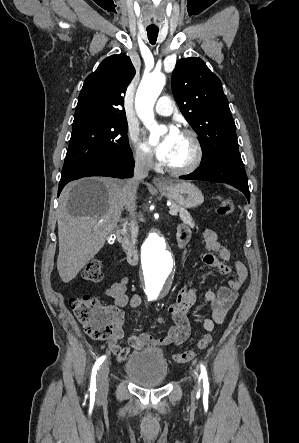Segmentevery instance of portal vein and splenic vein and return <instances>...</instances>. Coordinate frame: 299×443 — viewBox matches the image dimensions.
Listing matches in <instances>:
<instances>
[{
  "mask_svg": "<svg viewBox=\"0 0 299 443\" xmlns=\"http://www.w3.org/2000/svg\"><path fill=\"white\" fill-rule=\"evenodd\" d=\"M169 213H170V215H172V216H176V215H177V211H175V210H173V209H170ZM105 221H106V220H101V221H99L98 223H96V226H97V227L101 226V225L103 224V222H105Z\"/></svg>",
  "mask_w": 299,
  "mask_h": 443,
  "instance_id": "18ae733b",
  "label": "portal vein and splenic vein"
}]
</instances>
